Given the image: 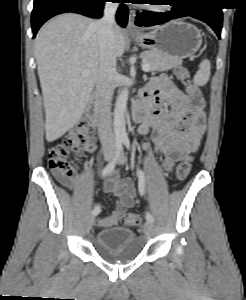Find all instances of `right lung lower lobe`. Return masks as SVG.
Listing matches in <instances>:
<instances>
[{"label":"right lung lower lobe","instance_id":"right-lung-lower-lobe-1","mask_svg":"<svg viewBox=\"0 0 246 300\" xmlns=\"http://www.w3.org/2000/svg\"><path fill=\"white\" fill-rule=\"evenodd\" d=\"M107 0H34V8L31 15L33 37H35L41 25L51 17L73 12L91 18L102 17L104 3ZM122 3L121 0H113ZM116 20L122 27L127 25L128 8L122 3L118 8Z\"/></svg>","mask_w":246,"mask_h":300}]
</instances>
